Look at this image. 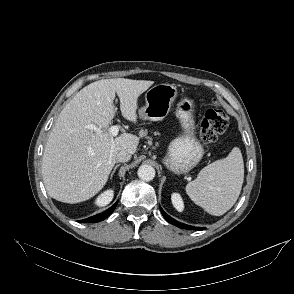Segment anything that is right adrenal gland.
<instances>
[{
	"label": "right adrenal gland",
	"mask_w": 294,
	"mask_h": 294,
	"mask_svg": "<svg viewBox=\"0 0 294 294\" xmlns=\"http://www.w3.org/2000/svg\"><path fill=\"white\" fill-rule=\"evenodd\" d=\"M119 166H120V164H117V165L114 167V169H113V171H112V173H111V175H110V179H112V177H113L115 171L117 170V168H118Z\"/></svg>",
	"instance_id": "1"
}]
</instances>
